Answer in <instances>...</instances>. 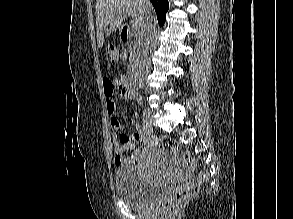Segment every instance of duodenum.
<instances>
[{
	"label": "duodenum",
	"instance_id": "duodenum-1",
	"mask_svg": "<svg viewBox=\"0 0 293 219\" xmlns=\"http://www.w3.org/2000/svg\"><path fill=\"white\" fill-rule=\"evenodd\" d=\"M120 38L125 44H137L138 39L137 36L132 32V30L128 26H123L120 31ZM140 71L141 65L140 63H136L134 68H132L129 73L125 77V82L136 89L140 86Z\"/></svg>",
	"mask_w": 293,
	"mask_h": 219
}]
</instances>
